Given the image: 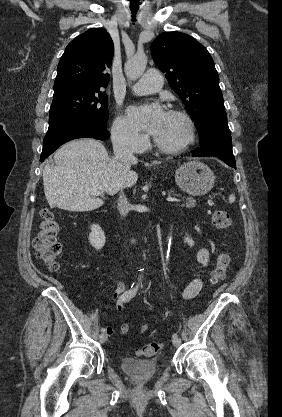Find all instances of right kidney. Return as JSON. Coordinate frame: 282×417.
Wrapping results in <instances>:
<instances>
[{"instance_id":"obj_1","label":"right kidney","mask_w":282,"mask_h":417,"mask_svg":"<svg viewBox=\"0 0 282 417\" xmlns=\"http://www.w3.org/2000/svg\"><path fill=\"white\" fill-rule=\"evenodd\" d=\"M105 239V233L102 231L101 227H99V225H92L91 233L89 235V241L92 247H95V249H102L105 245Z\"/></svg>"}]
</instances>
